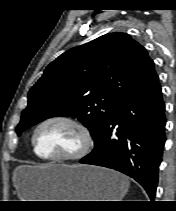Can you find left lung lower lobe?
Returning a JSON list of instances; mask_svg holds the SVG:
<instances>
[{"label": "left lung lower lobe", "mask_w": 176, "mask_h": 211, "mask_svg": "<svg viewBox=\"0 0 176 211\" xmlns=\"http://www.w3.org/2000/svg\"><path fill=\"white\" fill-rule=\"evenodd\" d=\"M165 124V105L157 81L115 109L95 148L80 163L112 168L134 178L153 200Z\"/></svg>", "instance_id": "0a47b994"}]
</instances>
